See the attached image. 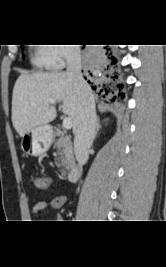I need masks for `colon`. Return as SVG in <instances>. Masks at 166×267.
Here are the masks:
<instances>
[{
    "mask_svg": "<svg viewBox=\"0 0 166 267\" xmlns=\"http://www.w3.org/2000/svg\"><path fill=\"white\" fill-rule=\"evenodd\" d=\"M28 180H33L35 188L46 189L49 186V180L46 177H36V175H28Z\"/></svg>",
    "mask_w": 166,
    "mask_h": 267,
    "instance_id": "obj_1",
    "label": "colon"
}]
</instances>
